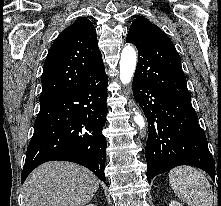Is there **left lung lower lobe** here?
I'll list each match as a JSON object with an SVG mask.
<instances>
[{
	"instance_id": "obj_1",
	"label": "left lung lower lobe",
	"mask_w": 221,
	"mask_h": 206,
	"mask_svg": "<svg viewBox=\"0 0 221 206\" xmlns=\"http://www.w3.org/2000/svg\"><path fill=\"white\" fill-rule=\"evenodd\" d=\"M133 94L148 121V182L179 165L200 168L215 180L214 160L191 100L170 96L135 80Z\"/></svg>"
}]
</instances>
